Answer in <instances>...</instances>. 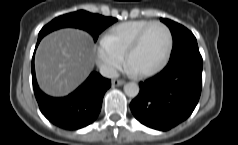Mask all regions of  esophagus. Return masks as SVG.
Instances as JSON below:
<instances>
[{
  "label": "esophagus",
  "mask_w": 238,
  "mask_h": 145,
  "mask_svg": "<svg viewBox=\"0 0 238 145\" xmlns=\"http://www.w3.org/2000/svg\"><path fill=\"white\" fill-rule=\"evenodd\" d=\"M125 82L123 80H119V79H113L112 80V85L113 86H121L123 85Z\"/></svg>",
  "instance_id": "1"
}]
</instances>
